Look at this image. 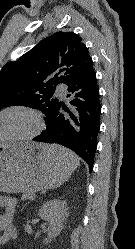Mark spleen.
<instances>
[{
  "mask_svg": "<svg viewBox=\"0 0 135 249\" xmlns=\"http://www.w3.org/2000/svg\"><path fill=\"white\" fill-rule=\"evenodd\" d=\"M59 150H60V155H62L64 158H68V159L72 160L75 166L80 165L79 157L77 155H75L73 152H71L65 148H62V147H59Z\"/></svg>",
  "mask_w": 135,
  "mask_h": 249,
  "instance_id": "obj_1",
  "label": "spleen"
}]
</instances>
